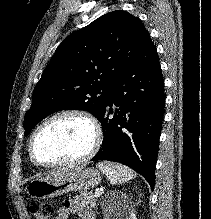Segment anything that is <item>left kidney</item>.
Wrapping results in <instances>:
<instances>
[{
  "mask_svg": "<svg viewBox=\"0 0 211 219\" xmlns=\"http://www.w3.org/2000/svg\"><path fill=\"white\" fill-rule=\"evenodd\" d=\"M116 196L121 200L120 202H118L120 205H122L123 200H125L127 198V196L121 192H116L114 193V196ZM123 206V205H122ZM114 217H116V219H137L135 213L132 211H130L129 209L125 210V208H123V211H118L114 214ZM105 219H109V218H105Z\"/></svg>",
  "mask_w": 211,
  "mask_h": 219,
  "instance_id": "left-kidney-1",
  "label": "left kidney"
}]
</instances>
